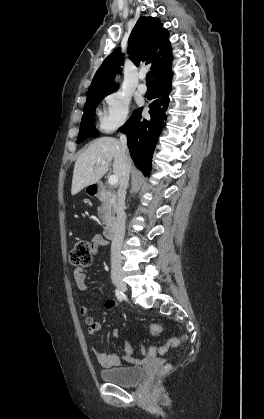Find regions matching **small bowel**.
Listing matches in <instances>:
<instances>
[{"instance_id":"c3829d8e","label":"small bowel","mask_w":264,"mask_h":419,"mask_svg":"<svg viewBox=\"0 0 264 419\" xmlns=\"http://www.w3.org/2000/svg\"><path fill=\"white\" fill-rule=\"evenodd\" d=\"M108 245V241L101 235L97 234L93 237L91 241V248L92 252L96 253L100 247H104ZM73 278L76 283V288L79 293H83L87 290V283H86V272L82 268H77L73 271ZM105 307L109 311H113L116 308V304L114 301H107L105 303ZM79 313L81 316L84 317V322L88 326V333L91 336H94L101 332L102 325L100 322L96 321L92 316L89 315V308L85 305L80 306ZM154 327L157 328V333H154ZM150 331L153 334H159L162 331V327L160 324L154 323L150 326ZM113 336L118 338L120 336L119 329L113 330ZM172 339L168 341V343L161 348L156 347H148L143 350V352L148 357H155L159 354H164L169 348H170V342ZM95 356L98 360V362L101 364V366L105 368H111L115 366H119L122 363V357L119 354L113 353V354H106L102 351L95 350ZM124 356L123 358L125 360H128L131 358L133 354V347L130 343L126 342L124 345Z\"/></svg>"}]
</instances>
